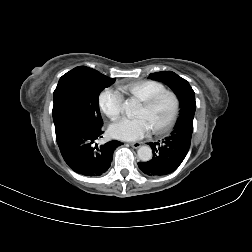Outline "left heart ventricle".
Segmentation results:
<instances>
[{"label":"left heart ventricle","mask_w":252,"mask_h":252,"mask_svg":"<svg viewBox=\"0 0 252 252\" xmlns=\"http://www.w3.org/2000/svg\"><path fill=\"white\" fill-rule=\"evenodd\" d=\"M173 108V98L170 95H163L149 108L140 105L135 115L144 118L150 130H156L168 122Z\"/></svg>","instance_id":"b2bd125f"}]
</instances>
